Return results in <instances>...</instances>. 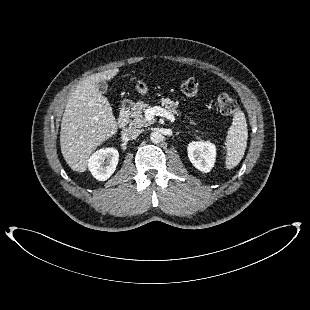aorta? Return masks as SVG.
<instances>
[{"mask_svg": "<svg viewBox=\"0 0 310 310\" xmlns=\"http://www.w3.org/2000/svg\"><path fill=\"white\" fill-rule=\"evenodd\" d=\"M150 139L153 143L157 144L163 141L164 137L161 133H159L158 131L156 132H152L150 134Z\"/></svg>", "mask_w": 310, "mask_h": 310, "instance_id": "762f6f07", "label": "aorta"}]
</instances>
